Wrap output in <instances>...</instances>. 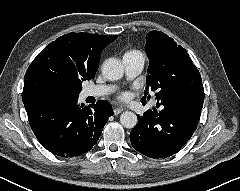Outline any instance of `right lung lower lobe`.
Listing matches in <instances>:
<instances>
[{"label":"right lung lower lobe","mask_w":240,"mask_h":191,"mask_svg":"<svg viewBox=\"0 0 240 191\" xmlns=\"http://www.w3.org/2000/svg\"><path fill=\"white\" fill-rule=\"evenodd\" d=\"M30 126L38 141L60 157H76L97 143L113 115L111 105L99 100L86 107L78 97H48L24 103Z\"/></svg>","instance_id":"obj_1"}]
</instances>
